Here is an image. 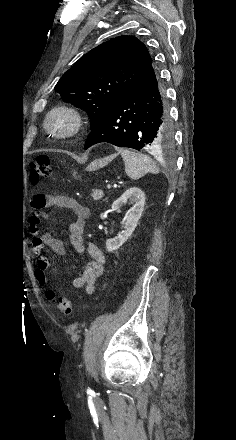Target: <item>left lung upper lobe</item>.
<instances>
[{"instance_id": "1", "label": "left lung upper lobe", "mask_w": 236, "mask_h": 440, "mask_svg": "<svg viewBox=\"0 0 236 440\" xmlns=\"http://www.w3.org/2000/svg\"><path fill=\"white\" fill-rule=\"evenodd\" d=\"M151 64L142 42L132 36H119L81 57L64 73L55 90L64 101L90 115L92 129Z\"/></svg>"}]
</instances>
